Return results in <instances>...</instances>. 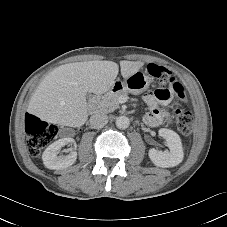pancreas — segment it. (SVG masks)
<instances>
[{
	"label": "pancreas",
	"mask_w": 227,
	"mask_h": 227,
	"mask_svg": "<svg viewBox=\"0 0 227 227\" xmlns=\"http://www.w3.org/2000/svg\"><path fill=\"white\" fill-rule=\"evenodd\" d=\"M127 91L108 92L97 102V111L110 113L119 108V99L121 96H127Z\"/></svg>",
	"instance_id": "pancreas-1"
}]
</instances>
